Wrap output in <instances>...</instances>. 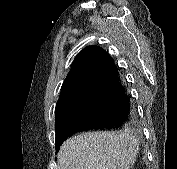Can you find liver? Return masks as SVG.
Returning a JSON list of instances; mask_svg holds the SVG:
<instances>
[{
  "mask_svg": "<svg viewBox=\"0 0 177 169\" xmlns=\"http://www.w3.org/2000/svg\"><path fill=\"white\" fill-rule=\"evenodd\" d=\"M138 150L129 131L82 133L62 144L58 169H131Z\"/></svg>",
  "mask_w": 177,
  "mask_h": 169,
  "instance_id": "1",
  "label": "liver"
}]
</instances>
